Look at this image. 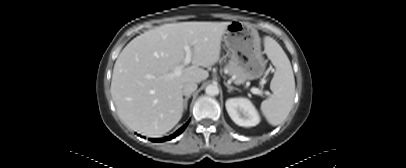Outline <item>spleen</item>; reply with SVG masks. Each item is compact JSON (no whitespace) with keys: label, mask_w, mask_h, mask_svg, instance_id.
<instances>
[{"label":"spleen","mask_w":406,"mask_h":168,"mask_svg":"<svg viewBox=\"0 0 406 168\" xmlns=\"http://www.w3.org/2000/svg\"><path fill=\"white\" fill-rule=\"evenodd\" d=\"M265 52L276 71L270 83L273 92L261 103V111L267 121L279 125L288 117L295 96V78L291 63L282 47L272 38L264 39Z\"/></svg>","instance_id":"spleen-1"}]
</instances>
